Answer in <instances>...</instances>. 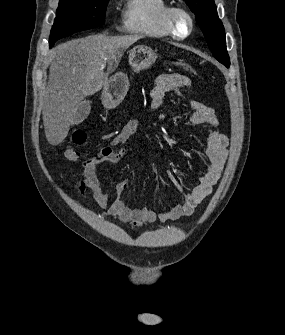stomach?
<instances>
[{
  "instance_id": "1",
  "label": "stomach",
  "mask_w": 285,
  "mask_h": 335,
  "mask_svg": "<svg viewBox=\"0 0 285 335\" xmlns=\"http://www.w3.org/2000/svg\"><path fill=\"white\" fill-rule=\"evenodd\" d=\"M157 54L148 46H136L129 52L130 66L135 72L140 70H148L152 64H155ZM129 88V82L126 74H114L108 82H106L103 90V100L107 106H118L126 96Z\"/></svg>"
}]
</instances>
